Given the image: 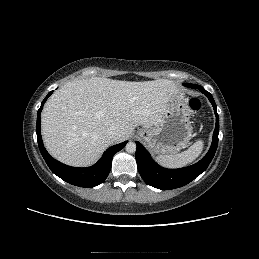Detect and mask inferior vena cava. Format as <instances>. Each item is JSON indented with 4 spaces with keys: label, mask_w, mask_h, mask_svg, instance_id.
<instances>
[{
    "label": "inferior vena cava",
    "mask_w": 259,
    "mask_h": 259,
    "mask_svg": "<svg viewBox=\"0 0 259 259\" xmlns=\"http://www.w3.org/2000/svg\"><path fill=\"white\" fill-rule=\"evenodd\" d=\"M120 136V131L116 127H110L106 131V137L111 141H116Z\"/></svg>",
    "instance_id": "602c4592"
}]
</instances>
